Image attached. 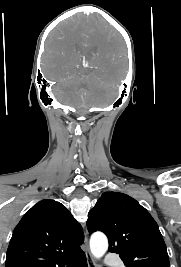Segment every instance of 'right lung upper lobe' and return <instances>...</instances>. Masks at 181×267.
<instances>
[{"label": "right lung upper lobe", "instance_id": "1", "mask_svg": "<svg viewBox=\"0 0 181 267\" xmlns=\"http://www.w3.org/2000/svg\"><path fill=\"white\" fill-rule=\"evenodd\" d=\"M81 225L63 204L44 199L13 231L5 267H62L83 251Z\"/></svg>", "mask_w": 181, "mask_h": 267}]
</instances>
